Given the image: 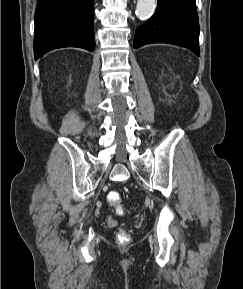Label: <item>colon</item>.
Here are the masks:
<instances>
[{"label":"colon","instance_id":"obj_1","mask_svg":"<svg viewBox=\"0 0 243 289\" xmlns=\"http://www.w3.org/2000/svg\"><path fill=\"white\" fill-rule=\"evenodd\" d=\"M107 201L119 213H122V199L118 192H110L107 196ZM117 240L121 244H127L130 241V235L126 230L121 229L117 234Z\"/></svg>","mask_w":243,"mask_h":289}]
</instances>
